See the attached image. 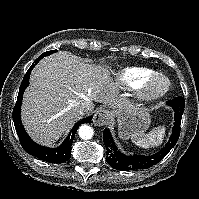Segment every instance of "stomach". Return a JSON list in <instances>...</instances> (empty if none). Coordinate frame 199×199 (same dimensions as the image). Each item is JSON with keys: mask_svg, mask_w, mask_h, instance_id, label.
Returning a JSON list of instances; mask_svg holds the SVG:
<instances>
[{"mask_svg": "<svg viewBox=\"0 0 199 199\" xmlns=\"http://www.w3.org/2000/svg\"><path fill=\"white\" fill-rule=\"evenodd\" d=\"M111 116L118 123L119 136L124 139L145 132L151 123L148 109L130 102L117 107Z\"/></svg>", "mask_w": 199, "mask_h": 199, "instance_id": "0dacf381", "label": "stomach"}]
</instances>
